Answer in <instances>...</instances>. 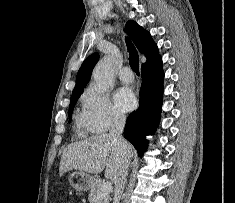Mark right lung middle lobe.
Returning a JSON list of instances; mask_svg holds the SVG:
<instances>
[{"label":"right lung middle lobe","instance_id":"1","mask_svg":"<svg viewBox=\"0 0 235 203\" xmlns=\"http://www.w3.org/2000/svg\"><path fill=\"white\" fill-rule=\"evenodd\" d=\"M81 93L82 92L76 93V94H72V96H71V101H70V105H69V120H71L74 106H75L78 98L80 97Z\"/></svg>","mask_w":235,"mask_h":203}]
</instances>
